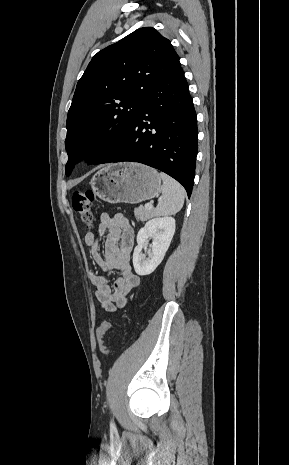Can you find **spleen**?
Returning a JSON list of instances; mask_svg holds the SVG:
<instances>
[{
    "label": "spleen",
    "mask_w": 289,
    "mask_h": 465,
    "mask_svg": "<svg viewBox=\"0 0 289 465\" xmlns=\"http://www.w3.org/2000/svg\"><path fill=\"white\" fill-rule=\"evenodd\" d=\"M163 180L162 197L160 198L155 210L158 216H167L176 214L181 210L185 199V190L175 179L160 173Z\"/></svg>",
    "instance_id": "1"
}]
</instances>
